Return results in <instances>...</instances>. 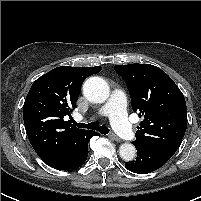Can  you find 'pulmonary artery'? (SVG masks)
I'll use <instances>...</instances> for the list:
<instances>
[{
    "mask_svg": "<svg viewBox=\"0 0 201 201\" xmlns=\"http://www.w3.org/2000/svg\"><path fill=\"white\" fill-rule=\"evenodd\" d=\"M98 115L108 116L116 132L126 140L135 139V132L126 116V99L120 90H113L108 101L98 110Z\"/></svg>",
    "mask_w": 201,
    "mask_h": 201,
    "instance_id": "pulmonary-artery-1",
    "label": "pulmonary artery"
}]
</instances>
